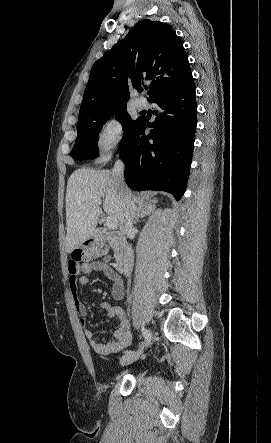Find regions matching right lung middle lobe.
I'll use <instances>...</instances> for the list:
<instances>
[{
    "instance_id": "right-lung-middle-lobe-1",
    "label": "right lung middle lobe",
    "mask_w": 271,
    "mask_h": 443,
    "mask_svg": "<svg viewBox=\"0 0 271 443\" xmlns=\"http://www.w3.org/2000/svg\"><path fill=\"white\" fill-rule=\"evenodd\" d=\"M116 113L124 128L125 134L137 123L126 111V106L115 109L103 116L80 118L77 123V139L71 156L76 160L92 159L98 154V134L106 121ZM124 134V136H125ZM123 136V137H124Z\"/></svg>"
}]
</instances>
